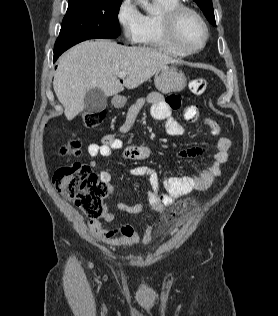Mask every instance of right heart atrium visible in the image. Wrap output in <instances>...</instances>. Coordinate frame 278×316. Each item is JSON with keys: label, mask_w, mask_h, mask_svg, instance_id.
I'll list each match as a JSON object with an SVG mask.
<instances>
[{"label": "right heart atrium", "mask_w": 278, "mask_h": 316, "mask_svg": "<svg viewBox=\"0 0 278 316\" xmlns=\"http://www.w3.org/2000/svg\"><path fill=\"white\" fill-rule=\"evenodd\" d=\"M117 23L123 37L131 43H137L141 28L143 14L134 0H120L116 11Z\"/></svg>", "instance_id": "obj_1"}]
</instances>
